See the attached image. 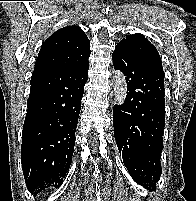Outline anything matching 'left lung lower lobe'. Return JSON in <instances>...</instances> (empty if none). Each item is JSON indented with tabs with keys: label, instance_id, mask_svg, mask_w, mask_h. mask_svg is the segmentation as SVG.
Segmentation results:
<instances>
[{
	"label": "left lung lower lobe",
	"instance_id": "left-lung-lower-lobe-1",
	"mask_svg": "<svg viewBox=\"0 0 196 201\" xmlns=\"http://www.w3.org/2000/svg\"><path fill=\"white\" fill-rule=\"evenodd\" d=\"M112 60L127 81L124 104L113 108L118 149L132 178L143 186L147 183L155 186L162 172L164 72L140 60L121 44L116 45Z\"/></svg>",
	"mask_w": 196,
	"mask_h": 201
}]
</instances>
